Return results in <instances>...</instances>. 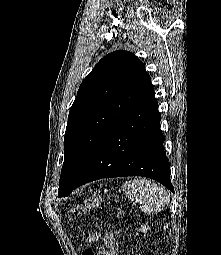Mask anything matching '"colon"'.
<instances>
[{
	"label": "colon",
	"instance_id": "5ec220e1",
	"mask_svg": "<svg viewBox=\"0 0 221 255\" xmlns=\"http://www.w3.org/2000/svg\"><path fill=\"white\" fill-rule=\"evenodd\" d=\"M102 203V197L100 195H91L83 198L79 203L71 207V212L75 215L81 213H88L92 209L98 207ZM82 255H95L94 251L90 248L83 250Z\"/></svg>",
	"mask_w": 221,
	"mask_h": 255
}]
</instances>
